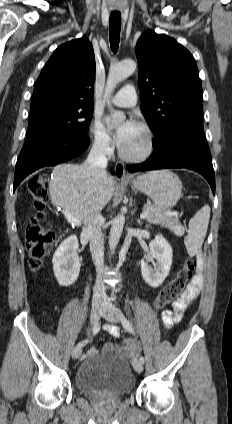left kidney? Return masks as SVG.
I'll use <instances>...</instances> for the list:
<instances>
[{"label":"left kidney","instance_id":"left-kidney-1","mask_svg":"<svg viewBox=\"0 0 232 424\" xmlns=\"http://www.w3.org/2000/svg\"><path fill=\"white\" fill-rule=\"evenodd\" d=\"M150 254L141 260V274L144 281L151 287H159L168 276L171 265L173 251L167 240L160 234L150 242ZM156 260L154 269L149 262Z\"/></svg>","mask_w":232,"mask_h":424}]
</instances>
